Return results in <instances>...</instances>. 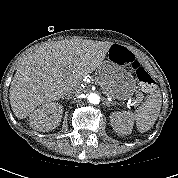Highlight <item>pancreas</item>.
<instances>
[{"label": "pancreas", "mask_w": 178, "mask_h": 178, "mask_svg": "<svg viewBox=\"0 0 178 178\" xmlns=\"http://www.w3.org/2000/svg\"><path fill=\"white\" fill-rule=\"evenodd\" d=\"M95 82L98 83V84L102 87L103 91H104L106 94L109 95V93H108V91H107V88L105 87V85L103 84V82H102L99 78L96 77V78H95ZM142 98H143L142 95H139L138 98L135 100L136 103L141 102Z\"/></svg>", "instance_id": "obj_1"}]
</instances>
